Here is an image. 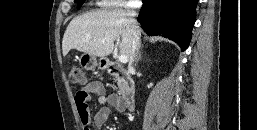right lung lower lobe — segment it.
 Instances as JSON below:
<instances>
[{"mask_svg":"<svg viewBox=\"0 0 257 130\" xmlns=\"http://www.w3.org/2000/svg\"><path fill=\"white\" fill-rule=\"evenodd\" d=\"M137 21L149 35L163 34L186 50L195 23L198 0H142Z\"/></svg>","mask_w":257,"mask_h":130,"instance_id":"1","label":"right lung lower lobe"}]
</instances>
